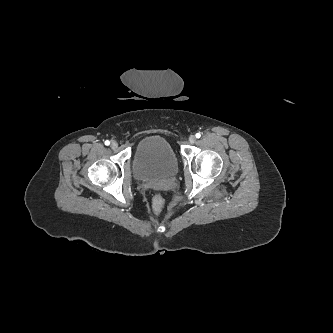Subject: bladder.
I'll use <instances>...</instances> for the list:
<instances>
[{
	"label": "bladder",
	"instance_id": "31cf9c89",
	"mask_svg": "<svg viewBox=\"0 0 333 333\" xmlns=\"http://www.w3.org/2000/svg\"><path fill=\"white\" fill-rule=\"evenodd\" d=\"M178 159L170 143L161 135L141 139L134 151L133 174L141 181L174 177Z\"/></svg>",
	"mask_w": 333,
	"mask_h": 333
}]
</instances>
